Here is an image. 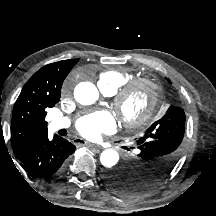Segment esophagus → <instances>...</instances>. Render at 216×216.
Instances as JSON below:
<instances>
[{
  "mask_svg": "<svg viewBox=\"0 0 216 216\" xmlns=\"http://www.w3.org/2000/svg\"><path fill=\"white\" fill-rule=\"evenodd\" d=\"M81 144L87 147H93V148H98V149L101 148L100 146L93 144L91 142L85 141V140H83Z\"/></svg>",
  "mask_w": 216,
  "mask_h": 216,
  "instance_id": "obj_1",
  "label": "esophagus"
}]
</instances>
